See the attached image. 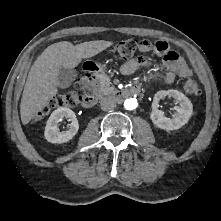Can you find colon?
<instances>
[{"mask_svg": "<svg viewBox=\"0 0 221 221\" xmlns=\"http://www.w3.org/2000/svg\"><path fill=\"white\" fill-rule=\"evenodd\" d=\"M142 41L139 39H126L119 42L114 47V52L122 59H130L140 48ZM94 84V79L91 75L85 74L81 76L75 83V91H69L56 95L50 104L38 114L36 120H41L44 115L52 108L57 107H73L81 102L91 92ZM185 91L192 96L200 95V88L194 78H188L184 84Z\"/></svg>", "mask_w": 221, "mask_h": 221, "instance_id": "5ec220e1", "label": "colon"}]
</instances>
